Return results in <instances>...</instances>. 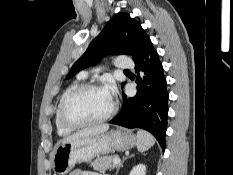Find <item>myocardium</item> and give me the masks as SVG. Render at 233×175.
Masks as SVG:
<instances>
[{
    "mask_svg": "<svg viewBox=\"0 0 233 175\" xmlns=\"http://www.w3.org/2000/svg\"><path fill=\"white\" fill-rule=\"evenodd\" d=\"M95 89H103V88L101 85L96 84V83L80 84L77 87H75L73 90H71L64 97V99L62 100V102L60 104V108H59V118H60L61 123L64 126L70 128V129H77V128H82V127L92 126V125L100 124L102 122L107 121L115 114V112L117 110V105L113 101L111 109L100 118L86 120V121H75L69 117L68 107H69L70 103L73 101V99L86 91L95 90Z\"/></svg>",
    "mask_w": 233,
    "mask_h": 175,
    "instance_id": "obj_1",
    "label": "myocardium"
}]
</instances>
